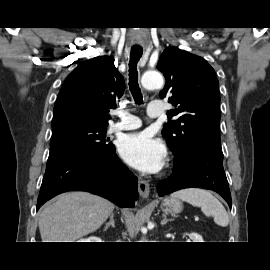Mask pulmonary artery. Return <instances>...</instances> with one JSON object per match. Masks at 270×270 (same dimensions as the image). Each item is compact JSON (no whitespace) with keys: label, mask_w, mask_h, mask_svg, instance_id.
Here are the masks:
<instances>
[{"label":"pulmonary artery","mask_w":270,"mask_h":270,"mask_svg":"<svg viewBox=\"0 0 270 270\" xmlns=\"http://www.w3.org/2000/svg\"><path fill=\"white\" fill-rule=\"evenodd\" d=\"M147 114L151 118H159L163 114L162 103H151L148 106ZM117 115L120 117V120L112 126V131L133 130L139 128L142 125L141 120L134 115L128 114L126 112H119Z\"/></svg>","instance_id":"e3ab8cb5"}]
</instances>
